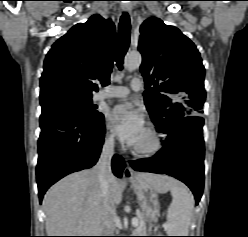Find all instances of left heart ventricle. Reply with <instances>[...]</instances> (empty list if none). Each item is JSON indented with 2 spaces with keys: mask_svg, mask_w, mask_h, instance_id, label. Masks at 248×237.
<instances>
[{
  "mask_svg": "<svg viewBox=\"0 0 248 237\" xmlns=\"http://www.w3.org/2000/svg\"><path fill=\"white\" fill-rule=\"evenodd\" d=\"M151 143V137L146 131L140 141L135 145L136 147H146Z\"/></svg>",
  "mask_w": 248,
  "mask_h": 237,
  "instance_id": "obj_1",
  "label": "left heart ventricle"
}]
</instances>
